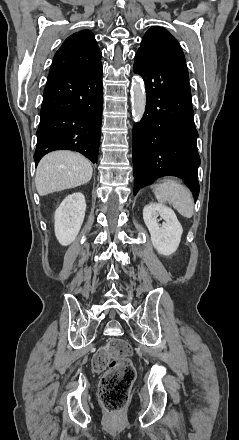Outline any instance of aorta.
<instances>
[{
    "label": "aorta",
    "instance_id": "762f6f07",
    "mask_svg": "<svg viewBox=\"0 0 239 440\" xmlns=\"http://www.w3.org/2000/svg\"><path fill=\"white\" fill-rule=\"evenodd\" d=\"M131 108L134 118L142 120L146 108V94L141 82H133L131 86Z\"/></svg>",
    "mask_w": 239,
    "mask_h": 440
}]
</instances>
